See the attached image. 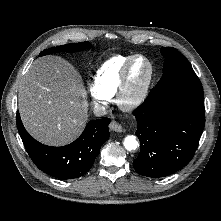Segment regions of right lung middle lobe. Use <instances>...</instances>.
Listing matches in <instances>:
<instances>
[{
	"mask_svg": "<svg viewBox=\"0 0 221 221\" xmlns=\"http://www.w3.org/2000/svg\"><path fill=\"white\" fill-rule=\"evenodd\" d=\"M91 44L89 42H82V43H71L65 44L57 47H52L46 49L40 53V55H47L52 54L54 52L66 51V52H75V51H82L89 48Z\"/></svg>",
	"mask_w": 221,
	"mask_h": 221,
	"instance_id": "1",
	"label": "right lung middle lobe"
}]
</instances>
